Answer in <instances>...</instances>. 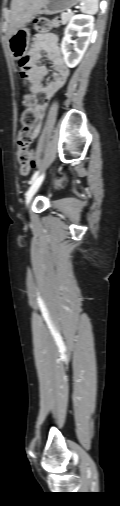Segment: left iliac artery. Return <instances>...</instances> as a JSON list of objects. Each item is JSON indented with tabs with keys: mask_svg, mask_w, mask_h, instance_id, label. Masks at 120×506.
I'll list each match as a JSON object with an SVG mask.
<instances>
[{
	"mask_svg": "<svg viewBox=\"0 0 120 506\" xmlns=\"http://www.w3.org/2000/svg\"><path fill=\"white\" fill-rule=\"evenodd\" d=\"M39 175V171H36L33 176L31 177V180L29 181V184H32L33 181L38 177Z\"/></svg>",
	"mask_w": 120,
	"mask_h": 506,
	"instance_id": "obj_1",
	"label": "left iliac artery"
}]
</instances>
